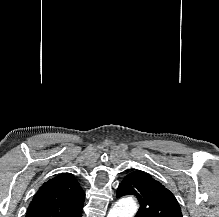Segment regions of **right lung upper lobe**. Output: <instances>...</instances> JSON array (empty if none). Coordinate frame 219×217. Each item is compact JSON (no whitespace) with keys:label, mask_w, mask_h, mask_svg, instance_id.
Here are the masks:
<instances>
[{"label":"right lung upper lobe","mask_w":219,"mask_h":217,"mask_svg":"<svg viewBox=\"0 0 219 217\" xmlns=\"http://www.w3.org/2000/svg\"><path fill=\"white\" fill-rule=\"evenodd\" d=\"M85 193L71 173L45 182L30 203L26 217H81Z\"/></svg>","instance_id":"1"}]
</instances>
